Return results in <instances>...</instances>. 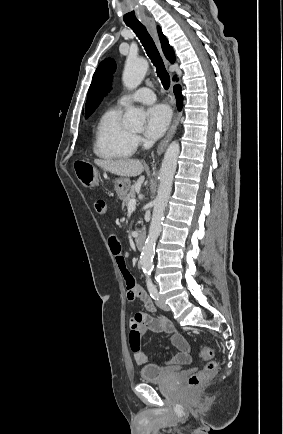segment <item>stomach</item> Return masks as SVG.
Segmentation results:
<instances>
[{"instance_id": "stomach-1", "label": "stomach", "mask_w": 283, "mask_h": 434, "mask_svg": "<svg viewBox=\"0 0 283 434\" xmlns=\"http://www.w3.org/2000/svg\"><path fill=\"white\" fill-rule=\"evenodd\" d=\"M131 181L127 177L117 178L114 181V189L119 199H123L129 192Z\"/></svg>"}]
</instances>
